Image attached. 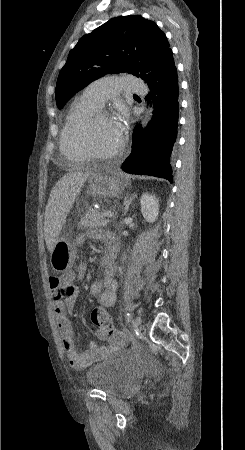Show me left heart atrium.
Returning <instances> with one entry per match:
<instances>
[{
  "label": "left heart atrium",
  "instance_id": "left-heart-atrium-1",
  "mask_svg": "<svg viewBox=\"0 0 245 450\" xmlns=\"http://www.w3.org/2000/svg\"><path fill=\"white\" fill-rule=\"evenodd\" d=\"M126 124V115L122 114L118 120L113 121L115 132L120 140H122Z\"/></svg>",
  "mask_w": 245,
  "mask_h": 450
}]
</instances>
